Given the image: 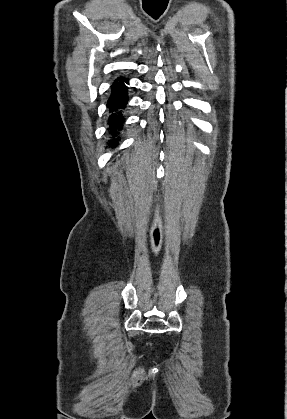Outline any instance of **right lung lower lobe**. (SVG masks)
<instances>
[{
	"mask_svg": "<svg viewBox=\"0 0 287 419\" xmlns=\"http://www.w3.org/2000/svg\"><path fill=\"white\" fill-rule=\"evenodd\" d=\"M128 79L124 77H118L110 88V95L107 105V125L110 139L108 145L116 147L120 140V131L123 130L125 117L124 110L128 103Z\"/></svg>",
	"mask_w": 287,
	"mask_h": 419,
	"instance_id": "right-lung-lower-lobe-1",
	"label": "right lung lower lobe"
}]
</instances>
